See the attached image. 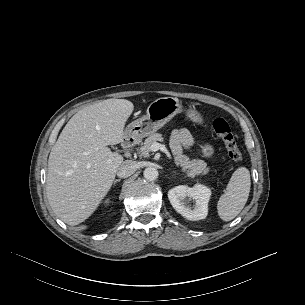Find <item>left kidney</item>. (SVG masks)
<instances>
[{
    "label": "left kidney",
    "instance_id": "5707ae66",
    "mask_svg": "<svg viewBox=\"0 0 305 305\" xmlns=\"http://www.w3.org/2000/svg\"><path fill=\"white\" fill-rule=\"evenodd\" d=\"M210 196L211 190L201 184H197L193 188L180 185L168 192V199L173 208L192 221L207 217Z\"/></svg>",
    "mask_w": 305,
    "mask_h": 305
}]
</instances>
